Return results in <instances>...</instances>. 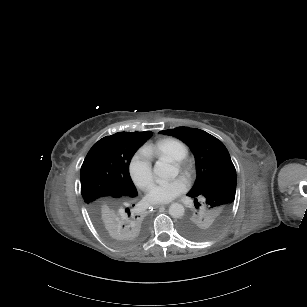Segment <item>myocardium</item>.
Wrapping results in <instances>:
<instances>
[{
	"label": "myocardium",
	"instance_id": "f54148a6",
	"mask_svg": "<svg viewBox=\"0 0 307 307\" xmlns=\"http://www.w3.org/2000/svg\"><path fill=\"white\" fill-rule=\"evenodd\" d=\"M179 170L185 175H192L195 173L197 167V160L195 157L187 155L180 160H176Z\"/></svg>",
	"mask_w": 307,
	"mask_h": 307
}]
</instances>
